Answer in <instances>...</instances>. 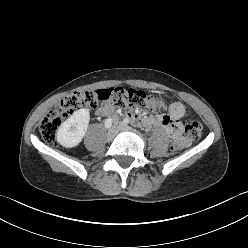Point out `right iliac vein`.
<instances>
[{"label": "right iliac vein", "instance_id": "right-iliac-vein-1", "mask_svg": "<svg viewBox=\"0 0 248 248\" xmlns=\"http://www.w3.org/2000/svg\"><path fill=\"white\" fill-rule=\"evenodd\" d=\"M116 132H117L116 127H112L107 133V139L111 141L115 137Z\"/></svg>", "mask_w": 248, "mask_h": 248}]
</instances>
